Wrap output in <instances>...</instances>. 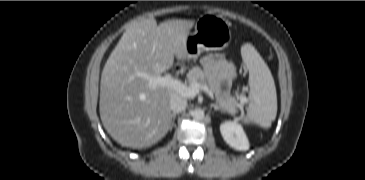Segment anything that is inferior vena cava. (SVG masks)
Here are the masks:
<instances>
[{
    "label": "inferior vena cava",
    "instance_id": "602c4592",
    "mask_svg": "<svg viewBox=\"0 0 365 180\" xmlns=\"http://www.w3.org/2000/svg\"><path fill=\"white\" fill-rule=\"evenodd\" d=\"M187 106V100L181 95L175 94L170 99V108L173 113L184 111Z\"/></svg>",
    "mask_w": 365,
    "mask_h": 180
}]
</instances>
